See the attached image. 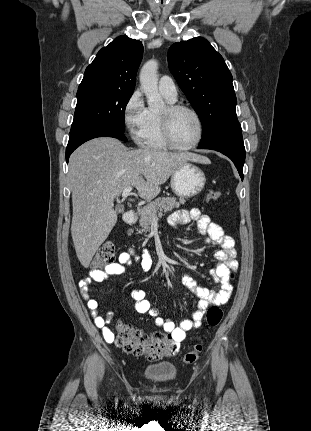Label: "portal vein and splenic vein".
Wrapping results in <instances>:
<instances>
[{
	"instance_id": "1",
	"label": "portal vein and splenic vein",
	"mask_w": 311,
	"mask_h": 431,
	"mask_svg": "<svg viewBox=\"0 0 311 431\" xmlns=\"http://www.w3.org/2000/svg\"><path fill=\"white\" fill-rule=\"evenodd\" d=\"M133 190V186H128V188H125V190H123L122 192V198H128V196H130V192H132ZM129 202H135V200H129Z\"/></svg>"
}]
</instances>
